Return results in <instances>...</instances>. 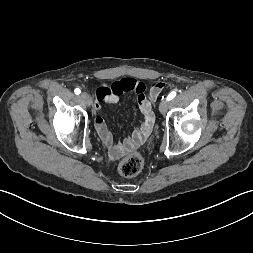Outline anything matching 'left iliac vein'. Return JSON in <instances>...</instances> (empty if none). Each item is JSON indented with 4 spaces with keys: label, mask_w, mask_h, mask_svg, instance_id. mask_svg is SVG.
Masks as SVG:
<instances>
[{
    "label": "left iliac vein",
    "mask_w": 253,
    "mask_h": 253,
    "mask_svg": "<svg viewBox=\"0 0 253 253\" xmlns=\"http://www.w3.org/2000/svg\"><path fill=\"white\" fill-rule=\"evenodd\" d=\"M169 106V102L167 99H164L163 101H161L160 105H159V110L161 113H165L168 109Z\"/></svg>",
    "instance_id": "4c4485c4"
}]
</instances>
